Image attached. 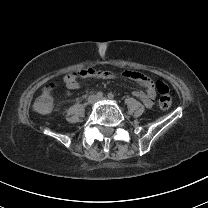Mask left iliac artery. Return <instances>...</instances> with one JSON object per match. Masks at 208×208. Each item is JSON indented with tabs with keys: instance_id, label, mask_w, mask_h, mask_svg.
Here are the masks:
<instances>
[{
	"instance_id": "1",
	"label": "left iliac artery",
	"mask_w": 208,
	"mask_h": 208,
	"mask_svg": "<svg viewBox=\"0 0 208 208\" xmlns=\"http://www.w3.org/2000/svg\"><path fill=\"white\" fill-rule=\"evenodd\" d=\"M108 98H109V99H113V98H114V94L109 93V94H108Z\"/></svg>"
}]
</instances>
